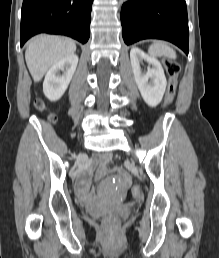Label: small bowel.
Returning <instances> with one entry per match:
<instances>
[{
    "instance_id": "obj_1",
    "label": "small bowel",
    "mask_w": 219,
    "mask_h": 258,
    "mask_svg": "<svg viewBox=\"0 0 219 258\" xmlns=\"http://www.w3.org/2000/svg\"><path fill=\"white\" fill-rule=\"evenodd\" d=\"M110 154L106 153L101 156L95 157L92 161V164L94 166L98 167L97 170V179L101 180L105 176L106 172V164L110 160ZM115 172H120V175L123 176V179L121 180L122 184H131V179L128 178L127 172L124 171V167H115ZM89 186H90V172L88 171L85 173L82 177V179L79 182L78 190L82 198L84 199H91V194L89 192Z\"/></svg>"
}]
</instances>
